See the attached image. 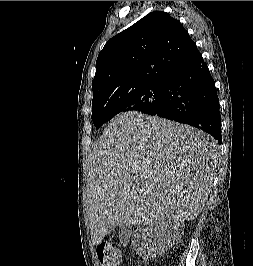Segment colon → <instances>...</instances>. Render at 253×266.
Wrapping results in <instances>:
<instances>
[{
  "label": "colon",
  "instance_id": "5ec220e1",
  "mask_svg": "<svg viewBox=\"0 0 253 266\" xmlns=\"http://www.w3.org/2000/svg\"><path fill=\"white\" fill-rule=\"evenodd\" d=\"M96 256L101 266H119L122 260L121 252L107 242L97 245Z\"/></svg>",
  "mask_w": 253,
  "mask_h": 266
}]
</instances>
